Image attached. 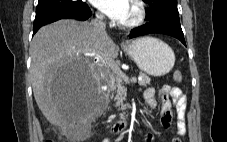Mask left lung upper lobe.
I'll return each mask as SVG.
<instances>
[{"label": "left lung upper lobe", "instance_id": "left-lung-upper-lobe-1", "mask_svg": "<svg viewBox=\"0 0 227 142\" xmlns=\"http://www.w3.org/2000/svg\"><path fill=\"white\" fill-rule=\"evenodd\" d=\"M144 2L149 4V8L146 9V16L149 19L163 16L179 20L177 0H146Z\"/></svg>", "mask_w": 227, "mask_h": 142}]
</instances>
